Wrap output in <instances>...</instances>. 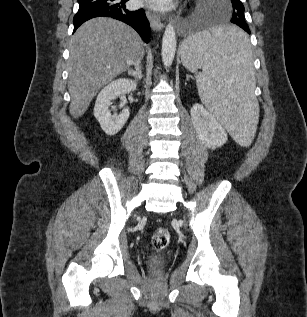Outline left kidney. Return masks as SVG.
Segmentation results:
<instances>
[{
  "label": "left kidney",
  "mask_w": 307,
  "mask_h": 317,
  "mask_svg": "<svg viewBox=\"0 0 307 317\" xmlns=\"http://www.w3.org/2000/svg\"><path fill=\"white\" fill-rule=\"evenodd\" d=\"M191 119L199 139L209 148L226 143L228 136L219 121L201 104L192 106Z\"/></svg>",
  "instance_id": "obj_1"
}]
</instances>
